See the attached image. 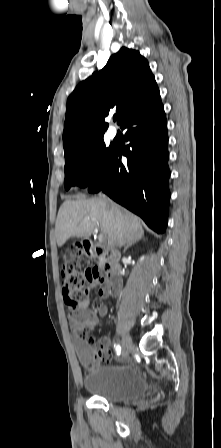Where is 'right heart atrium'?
<instances>
[{"instance_id":"d8ad5b80","label":"right heart atrium","mask_w":221,"mask_h":448,"mask_svg":"<svg viewBox=\"0 0 221 448\" xmlns=\"http://www.w3.org/2000/svg\"><path fill=\"white\" fill-rule=\"evenodd\" d=\"M94 168V162H91L90 163V169H93Z\"/></svg>"}]
</instances>
